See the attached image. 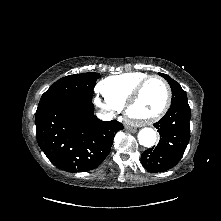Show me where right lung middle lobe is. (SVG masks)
<instances>
[{
  "label": "right lung middle lobe",
  "instance_id": "obj_1",
  "mask_svg": "<svg viewBox=\"0 0 221 221\" xmlns=\"http://www.w3.org/2000/svg\"><path fill=\"white\" fill-rule=\"evenodd\" d=\"M99 77L98 73L91 72L59 79L42 95L37 110L61 99H80L91 102L93 88Z\"/></svg>",
  "mask_w": 221,
  "mask_h": 221
}]
</instances>
